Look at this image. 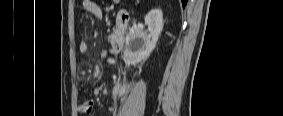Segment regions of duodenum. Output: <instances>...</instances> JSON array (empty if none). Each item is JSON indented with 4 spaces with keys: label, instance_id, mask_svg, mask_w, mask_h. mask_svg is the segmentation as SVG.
<instances>
[{
    "label": "duodenum",
    "instance_id": "410a0bca",
    "mask_svg": "<svg viewBox=\"0 0 283 116\" xmlns=\"http://www.w3.org/2000/svg\"><path fill=\"white\" fill-rule=\"evenodd\" d=\"M129 20V11L119 9L116 16V37L112 43V50L115 53L122 52L125 47Z\"/></svg>",
    "mask_w": 283,
    "mask_h": 116
}]
</instances>
